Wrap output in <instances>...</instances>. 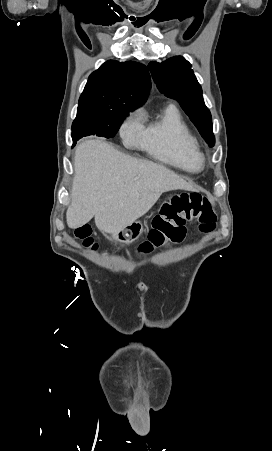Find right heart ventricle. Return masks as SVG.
Returning <instances> with one entry per match:
<instances>
[{
	"mask_svg": "<svg viewBox=\"0 0 272 451\" xmlns=\"http://www.w3.org/2000/svg\"><path fill=\"white\" fill-rule=\"evenodd\" d=\"M137 142L156 160L186 174L199 169L196 141L173 106H169L158 120L150 124Z\"/></svg>",
	"mask_w": 272,
	"mask_h": 451,
	"instance_id": "1",
	"label": "right heart ventricle"
}]
</instances>
